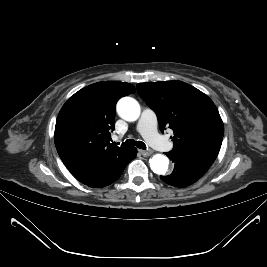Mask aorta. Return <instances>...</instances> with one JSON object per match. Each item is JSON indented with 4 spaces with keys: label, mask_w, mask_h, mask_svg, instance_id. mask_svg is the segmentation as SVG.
Masks as SVG:
<instances>
[{
    "label": "aorta",
    "mask_w": 267,
    "mask_h": 267,
    "mask_svg": "<svg viewBox=\"0 0 267 267\" xmlns=\"http://www.w3.org/2000/svg\"><path fill=\"white\" fill-rule=\"evenodd\" d=\"M119 116L129 122L136 121L141 113L139 103L132 97H123L117 103ZM169 160L162 154H155L150 159L151 170L158 175H165L168 172Z\"/></svg>",
    "instance_id": "aorta-1"
}]
</instances>
